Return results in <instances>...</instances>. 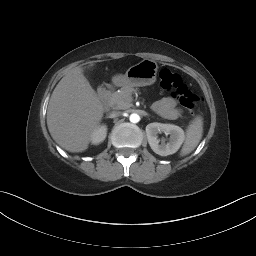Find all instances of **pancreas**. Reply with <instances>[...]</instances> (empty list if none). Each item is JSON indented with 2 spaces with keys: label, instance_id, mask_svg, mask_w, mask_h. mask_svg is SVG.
I'll return each mask as SVG.
<instances>
[{
  "label": "pancreas",
  "instance_id": "pancreas-1",
  "mask_svg": "<svg viewBox=\"0 0 256 256\" xmlns=\"http://www.w3.org/2000/svg\"><path fill=\"white\" fill-rule=\"evenodd\" d=\"M134 89L125 87L120 91L109 94V104L115 109H127L132 105Z\"/></svg>",
  "mask_w": 256,
  "mask_h": 256
}]
</instances>
